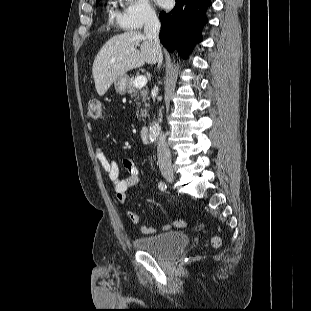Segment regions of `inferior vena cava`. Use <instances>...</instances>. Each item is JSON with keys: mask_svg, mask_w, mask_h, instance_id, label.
I'll return each mask as SVG.
<instances>
[{"mask_svg": "<svg viewBox=\"0 0 311 311\" xmlns=\"http://www.w3.org/2000/svg\"><path fill=\"white\" fill-rule=\"evenodd\" d=\"M159 31H160V21L154 12H150L147 14L145 18L144 25V34L145 36L151 40L157 50L158 58L157 63L158 66L162 64V51L159 41ZM157 157L159 166H171V153L166 143V136L164 133L159 132L158 135V143H157Z\"/></svg>", "mask_w": 311, "mask_h": 311, "instance_id": "602c4592", "label": "inferior vena cava"}]
</instances>
